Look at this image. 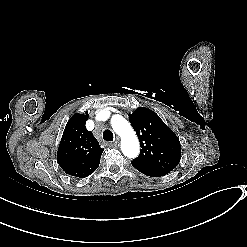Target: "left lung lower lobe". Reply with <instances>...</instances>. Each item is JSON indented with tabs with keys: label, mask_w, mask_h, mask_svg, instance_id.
Here are the masks:
<instances>
[{
	"label": "left lung lower lobe",
	"mask_w": 247,
	"mask_h": 247,
	"mask_svg": "<svg viewBox=\"0 0 247 247\" xmlns=\"http://www.w3.org/2000/svg\"><path fill=\"white\" fill-rule=\"evenodd\" d=\"M139 172L147 175V176H151V177H160V176H164L168 173L157 170V169H153V168H149V167H145V166H141V165H134L132 164Z\"/></svg>",
	"instance_id": "left-lung-lower-lobe-1"
}]
</instances>
